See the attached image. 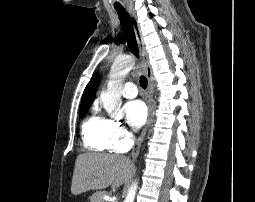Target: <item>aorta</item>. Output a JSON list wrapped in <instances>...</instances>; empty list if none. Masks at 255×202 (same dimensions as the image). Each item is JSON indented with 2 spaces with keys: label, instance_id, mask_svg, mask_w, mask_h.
Returning <instances> with one entry per match:
<instances>
[{
  "label": "aorta",
  "instance_id": "1",
  "mask_svg": "<svg viewBox=\"0 0 255 202\" xmlns=\"http://www.w3.org/2000/svg\"><path fill=\"white\" fill-rule=\"evenodd\" d=\"M135 60L127 55L118 57L110 71V81L106 91L100 95V101L103 107L111 117L118 118L121 116V91L124 76L133 68ZM138 189V181H134L130 186L124 202H134Z\"/></svg>",
  "mask_w": 255,
  "mask_h": 202
}]
</instances>
